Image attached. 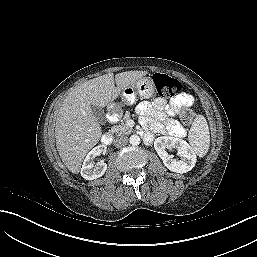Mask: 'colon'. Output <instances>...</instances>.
I'll use <instances>...</instances> for the list:
<instances>
[{
	"mask_svg": "<svg viewBox=\"0 0 257 257\" xmlns=\"http://www.w3.org/2000/svg\"><path fill=\"white\" fill-rule=\"evenodd\" d=\"M153 82L157 91V94L162 98H170L179 94L183 88L182 83L175 78H172L163 73H157L153 77ZM181 120L188 124L194 117L192 109L186 107L180 111L179 114Z\"/></svg>",
	"mask_w": 257,
	"mask_h": 257,
	"instance_id": "obj_1",
	"label": "colon"
}]
</instances>
